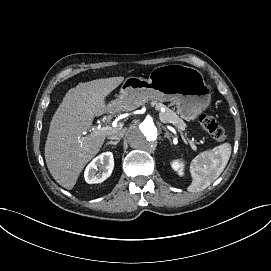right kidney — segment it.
<instances>
[{
  "mask_svg": "<svg viewBox=\"0 0 271 271\" xmlns=\"http://www.w3.org/2000/svg\"><path fill=\"white\" fill-rule=\"evenodd\" d=\"M114 159L112 152H104L94 158L84 172L85 181L88 184L102 183L112 173Z\"/></svg>",
  "mask_w": 271,
  "mask_h": 271,
  "instance_id": "1",
  "label": "right kidney"
}]
</instances>
